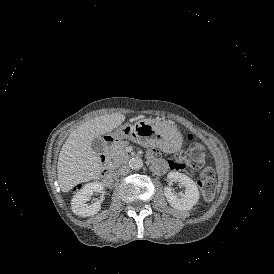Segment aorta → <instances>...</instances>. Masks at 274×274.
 Returning a JSON list of instances; mask_svg holds the SVG:
<instances>
[{
	"mask_svg": "<svg viewBox=\"0 0 274 274\" xmlns=\"http://www.w3.org/2000/svg\"><path fill=\"white\" fill-rule=\"evenodd\" d=\"M142 166H143V161L139 157L132 158L129 161V167L133 170H139L142 168Z\"/></svg>",
	"mask_w": 274,
	"mask_h": 274,
	"instance_id": "obj_1",
	"label": "aorta"
}]
</instances>
